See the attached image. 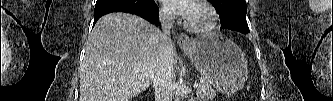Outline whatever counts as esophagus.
<instances>
[{
	"label": "esophagus",
	"mask_w": 333,
	"mask_h": 101,
	"mask_svg": "<svg viewBox=\"0 0 333 101\" xmlns=\"http://www.w3.org/2000/svg\"><path fill=\"white\" fill-rule=\"evenodd\" d=\"M177 43L181 47H189L191 45V40H190V38H189L188 35H186V34H180L177 37Z\"/></svg>",
	"instance_id": "obj_1"
}]
</instances>
